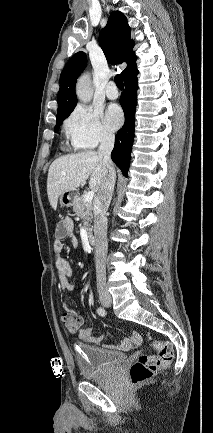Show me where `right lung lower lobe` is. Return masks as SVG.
<instances>
[{
	"label": "right lung lower lobe",
	"instance_id": "right-lung-lower-lobe-1",
	"mask_svg": "<svg viewBox=\"0 0 213 433\" xmlns=\"http://www.w3.org/2000/svg\"><path fill=\"white\" fill-rule=\"evenodd\" d=\"M137 67L124 77L125 90L120 97V104L125 114V124L117 132L115 146L111 158L121 169L124 176H127L130 160V152L134 140V116L137 104Z\"/></svg>",
	"mask_w": 213,
	"mask_h": 433
}]
</instances>
